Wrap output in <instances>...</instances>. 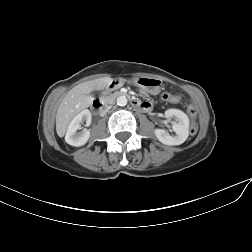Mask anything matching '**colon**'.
Here are the masks:
<instances>
[{
  "label": "colon",
  "instance_id": "1",
  "mask_svg": "<svg viewBox=\"0 0 252 252\" xmlns=\"http://www.w3.org/2000/svg\"><path fill=\"white\" fill-rule=\"evenodd\" d=\"M162 98H163V100L168 101L170 103H177L181 99V97L179 95H172L170 93H163ZM187 113L193 119L191 126H190V132L192 134H195L197 132V124L194 121V119L197 115V107L193 104H189L187 106Z\"/></svg>",
  "mask_w": 252,
  "mask_h": 252
}]
</instances>
